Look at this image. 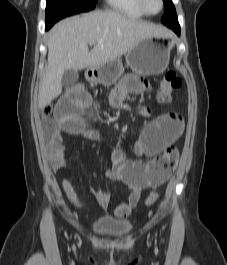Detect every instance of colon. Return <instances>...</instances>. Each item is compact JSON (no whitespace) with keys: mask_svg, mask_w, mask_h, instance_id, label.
<instances>
[{"mask_svg":"<svg viewBox=\"0 0 227 265\" xmlns=\"http://www.w3.org/2000/svg\"><path fill=\"white\" fill-rule=\"evenodd\" d=\"M182 85L181 78L175 72H167L160 82L157 98L160 103H169L172 100V92ZM71 87H83L81 84H75ZM52 108L50 106L43 110V116L48 118L51 115ZM48 129L51 132L52 123L49 121ZM178 159V152L174 148L168 149L162 156L156 160V166L161 172V178L166 179L174 170ZM158 198V193L151 192L146 200V205H152Z\"/></svg>","mask_w":227,"mask_h":265,"instance_id":"colon-1","label":"colon"}]
</instances>
